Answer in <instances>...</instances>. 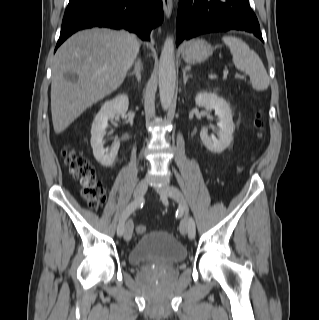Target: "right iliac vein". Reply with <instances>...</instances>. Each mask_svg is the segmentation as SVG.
<instances>
[{"mask_svg": "<svg viewBox=\"0 0 319 320\" xmlns=\"http://www.w3.org/2000/svg\"><path fill=\"white\" fill-rule=\"evenodd\" d=\"M147 187L148 186L146 181H140L135 187L134 198L135 199L142 198L147 191ZM132 233H133V222L129 220L124 229V239L126 241H130L132 237Z\"/></svg>", "mask_w": 319, "mask_h": 320, "instance_id": "63e3f726", "label": "right iliac vein"}]
</instances>
